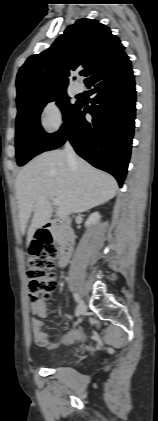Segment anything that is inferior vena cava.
Listing matches in <instances>:
<instances>
[{
    "mask_svg": "<svg viewBox=\"0 0 158 421\" xmlns=\"http://www.w3.org/2000/svg\"><path fill=\"white\" fill-rule=\"evenodd\" d=\"M65 152L69 163H75L77 161V155L69 142L65 144Z\"/></svg>",
    "mask_w": 158,
    "mask_h": 421,
    "instance_id": "1",
    "label": "inferior vena cava"
}]
</instances>
